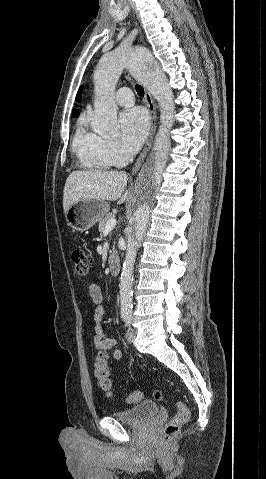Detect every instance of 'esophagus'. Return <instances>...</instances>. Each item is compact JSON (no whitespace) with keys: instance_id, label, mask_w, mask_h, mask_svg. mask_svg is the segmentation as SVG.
<instances>
[{"instance_id":"34e87169","label":"esophagus","mask_w":266,"mask_h":479,"mask_svg":"<svg viewBox=\"0 0 266 479\" xmlns=\"http://www.w3.org/2000/svg\"><path fill=\"white\" fill-rule=\"evenodd\" d=\"M140 39H143V37L140 36ZM145 101L150 114V134L143 151L141 152V154L139 155L138 159L136 160L134 164V167L132 169L133 174L137 173L142 167L144 160L152 146L154 135L156 132V123H157L156 106L150 92L146 88H145Z\"/></svg>"}]
</instances>
